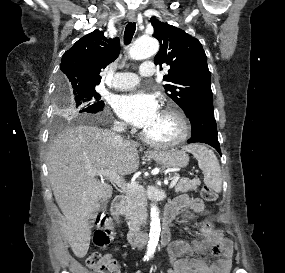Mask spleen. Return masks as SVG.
Wrapping results in <instances>:
<instances>
[{
    "label": "spleen",
    "instance_id": "3e777b00",
    "mask_svg": "<svg viewBox=\"0 0 285 273\" xmlns=\"http://www.w3.org/2000/svg\"><path fill=\"white\" fill-rule=\"evenodd\" d=\"M193 154L198 161V166L204 174L205 184L216 192H221L222 178L219 161L212 150L209 148L193 144L184 148Z\"/></svg>",
    "mask_w": 285,
    "mask_h": 273
}]
</instances>
